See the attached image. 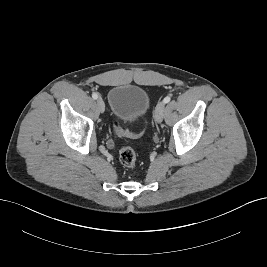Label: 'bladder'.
<instances>
[{"label":"bladder","mask_w":267,"mask_h":267,"mask_svg":"<svg viewBox=\"0 0 267 267\" xmlns=\"http://www.w3.org/2000/svg\"><path fill=\"white\" fill-rule=\"evenodd\" d=\"M108 104L112 116L118 121L133 123L147 114L150 98L142 87L122 84L109 90Z\"/></svg>","instance_id":"1"}]
</instances>
